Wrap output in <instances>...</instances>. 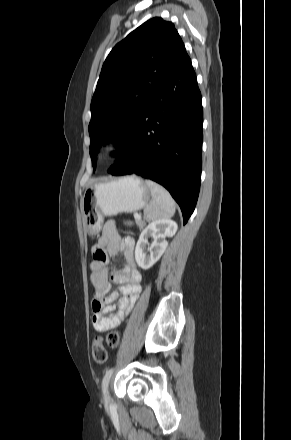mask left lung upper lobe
<instances>
[{
  "instance_id": "1",
  "label": "left lung upper lobe",
  "mask_w": 291,
  "mask_h": 440,
  "mask_svg": "<svg viewBox=\"0 0 291 440\" xmlns=\"http://www.w3.org/2000/svg\"><path fill=\"white\" fill-rule=\"evenodd\" d=\"M186 54L174 25L159 17L139 26L111 50L90 106L94 169L97 150L108 139L115 137L116 146L125 148L150 100Z\"/></svg>"
}]
</instances>
